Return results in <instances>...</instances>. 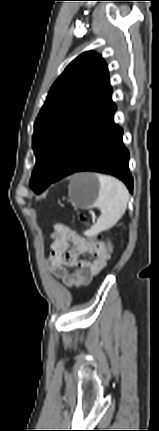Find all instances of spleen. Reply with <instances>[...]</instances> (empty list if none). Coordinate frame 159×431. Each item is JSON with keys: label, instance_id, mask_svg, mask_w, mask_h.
<instances>
[{"label": "spleen", "instance_id": "obj_1", "mask_svg": "<svg viewBox=\"0 0 159 431\" xmlns=\"http://www.w3.org/2000/svg\"><path fill=\"white\" fill-rule=\"evenodd\" d=\"M96 175L100 189L95 206L101 211V215L87 232L89 235H96L112 228L125 213L129 201V192L121 181L103 174Z\"/></svg>", "mask_w": 159, "mask_h": 431}]
</instances>
